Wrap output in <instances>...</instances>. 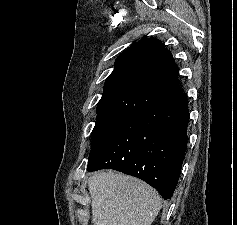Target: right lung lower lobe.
Wrapping results in <instances>:
<instances>
[{
  "label": "right lung lower lobe",
  "instance_id": "98d812e1",
  "mask_svg": "<svg viewBox=\"0 0 237 225\" xmlns=\"http://www.w3.org/2000/svg\"><path fill=\"white\" fill-rule=\"evenodd\" d=\"M187 95L154 105L114 130L89 155L87 171L110 168L173 196L187 148Z\"/></svg>",
  "mask_w": 237,
  "mask_h": 225
}]
</instances>
